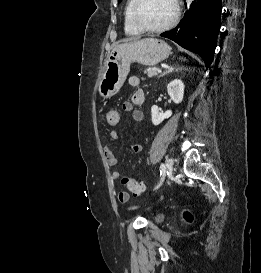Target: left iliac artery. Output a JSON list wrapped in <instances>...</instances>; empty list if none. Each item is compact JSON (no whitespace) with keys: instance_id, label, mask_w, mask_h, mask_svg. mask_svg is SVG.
Masks as SVG:
<instances>
[{"instance_id":"44dca946","label":"left iliac artery","mask_w":261,"mask_h":273,"mask_svg":"<svg viewBox=\"0 0 261 273\" xmlns=\"http://www.w3.org/2000/svg\"><path fill=\"white\" fill-rule=\"evenodd\" d=\"M165 170H166L165 164L162 163V164L160 165V175H163V176H164ZM162 181H163V179H162ZM162 181L160 182V184H159L155 189L159 188V186L161 185Z\"/></svg>"}]
</instances>
